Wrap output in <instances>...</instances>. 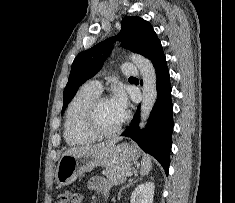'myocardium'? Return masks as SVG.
<instances>
[{
	"mask_svg": "<svg viewBox=\"0 0 235 203\" xmlns=\"http://www.w3.org/2000/svg\"><path fill=\"white\" fill-rule=\"evenodd\" d=\"M105 100H109V97L100 94L92 99L87 106L84 116V125L86 130L96 138H109L118 135L120 132H122L129 119V115L125 114L124 119L115 129L110 131L101 129L97 122V111L99 105Z\"/></svg>",
	"mask_w": 235,
	"mask_h": 203,
	"instance_id": "1",
	"label": "myocardium"
}]
</instances>
